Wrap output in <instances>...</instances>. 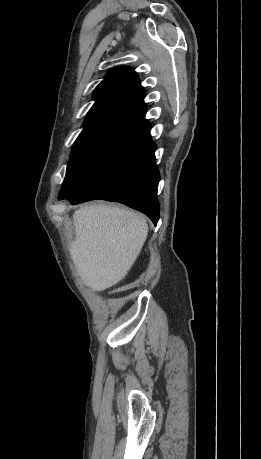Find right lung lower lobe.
<instances>
[{
	"label": "right lung lower lobe",
	"instance_id": "98d812e1",
	"mask_svg": "<svg viewBox=\"0 0 261 459\" xmlns=\"http://www.w3.org/2000/svg\"><path fill=\"white\" fill-rule=\"evenodd\" d=\"M156 145L149 137L119 164L100 177L84 194L67 198L71 204L103 199L123 203L146 214L156 225L160 175L155 165Z\"/></svg>",
	"mask_w": 261,
	"mask_h": 459
}]
</instances>
